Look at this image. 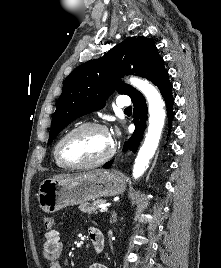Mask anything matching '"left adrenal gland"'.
I'll return each mask as SVG.
<instances>
[{"mask_svg":"<svg viewBox=\"0 0 221 268\" xmlns=\"http://www.w3.org/2000/svg\"><path fill=\"white\" fill-rule=\"evenodd\" d=\"M110 222L111 223H116L117 222V215H116L115 211L112 213Z\"/></svg>","mask_w":221,"mask_h":268,"instance_id":"left-adrenal-gland-1","label":"left adrenal gland"}]
</instances>
